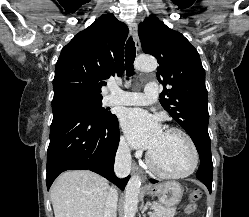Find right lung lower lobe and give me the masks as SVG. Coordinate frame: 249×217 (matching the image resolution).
Returning <instances> with one entry per match:
<instances>
[{
  "label": "right lung lower lobe",
  "instance_id": "98d812e1",
  "mask_svg": "<svg viewBox=\"0 0 249 217\" xmlns=\"http://www.w3.org/2000/svg\"><path fill=\"white\" fill-rule=\"evenodd\" d=\"M53 120L47 151L46 183L49 190L55 178L66 170H91L124 189L129 176L114 175V160L119 144L117 118L102 122L79 105L52 101Z\"/></svg>",
  "mask_w": 249,
  "mask_h": 217
}]
</instances>
